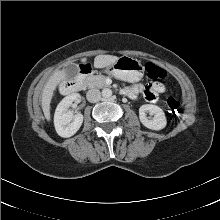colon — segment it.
I'll return each mask as SVG.
<instances>
[{"mask_svg": "<svg viewBox=\"0 0 220 220\" xmlns=\"http://www.w3.org/2000/svg\"><path fill=\"white\" fill-rule=\"evenodd\" d=\"M145 71L147 77L152 82L150 86L157 84L159 80L163 79L166 76L165 70L152 62L146 63ZM166 111L169 117L171 119H174L178 116L180 112V102L174 97L167 98Z\"/></svg>", "mask_w": 220, "mask_h": 220, "instance_id": "obj_1", "label": "colon"}]
</instances>
